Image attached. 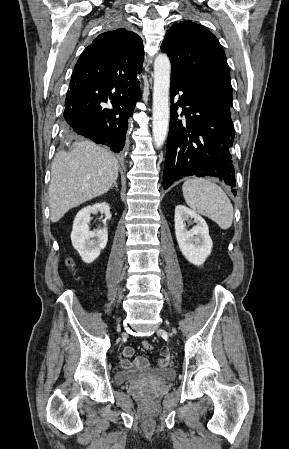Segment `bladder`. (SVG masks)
Listing matches in <instances>:
<instances>
[{"label": "bladder", "instance_id": "bladder-1", "mask_svg": "<svg viewBox=\"0 0 289 449\" xmlns=\"http://www.w3.org/2000/svg\"><path fill=\"white\" fill-rule=\"evenodd\" d=\"M114 377L119 385L140 381H171L175 379L176 371L173 368L117 371Z\"/></svg>", "mask_w": 289, "mask_h": 449}]
</instances>
